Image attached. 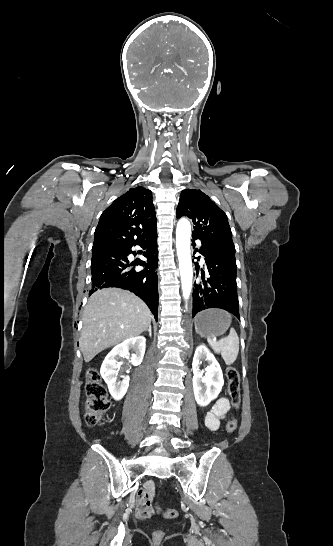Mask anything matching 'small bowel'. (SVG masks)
<instances>
[{
    "label": "small bowel",
    "instance_id": "c3829d8e",
    "mask_svg": "<svg viewBox=\"0 0 333 546\" xmlns=\"http://www.w3.org/2000/svg\"><path fill=\"white\" fill-rule=\"evenodd\" d=\"M229 410L230 405L227 399H218L205 416V426L210 431H217L221 420L226 418ZM154 494L155 487L152 481L147 482L144 488L138 492L135 509V514L138 518L145 519L152 515L153 509L151 504Z\"/></svg>",
    "mask_w": 333,
    "mask_h": 546
}]
</instances>
